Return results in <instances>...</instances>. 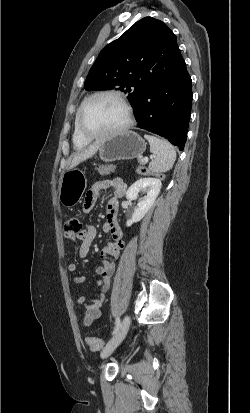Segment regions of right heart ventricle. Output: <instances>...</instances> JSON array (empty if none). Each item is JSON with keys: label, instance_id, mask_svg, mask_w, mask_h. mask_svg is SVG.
I'll list each match as a JSON object with an SVG mask.
<instances>
[{"label": "right heart ventricle", "instance_id": "1", "mask_svg": "<svg viewBox=\"0 0 250 413\" xmlns=\"http://www.w3.org/2000/svg\"><path fill=\"white\" fill-rule=\"evenodd\" d=\"M82 104V103H81ZM81 106V105H80ZM79 106V108H80ZM79 108L76 111L75 114V118H74V129H73V135H72V141H73V145L76 149H81L85 146H87L90 142L89 139L84 138L80 132L78 131V127H77V116H78V111Z\"/></svg>", "mask_w": 250, "mask_h": 413}]
</instances>
